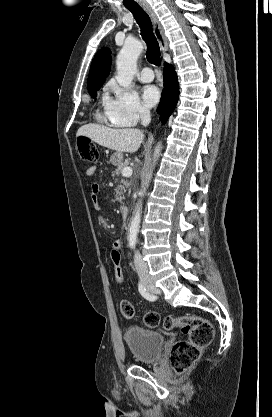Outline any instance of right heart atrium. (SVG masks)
<instances>
[{"instance_id":"d8ad5b80","label":"right heart atrium","mask_w":272,"mask_h":417,"mask_svg":"<svg viewBox=\"0 0 272 417\" xmlns=\"http://www.w3.org/2000/svg\"><path fill=\"white\" fill-rule=\"evenodd\" d=\"M111 93L104 101L109 119L119 126H134L149 115V110L142 104L138 95L111 82Z\"/></svg>"}]
</instances>
